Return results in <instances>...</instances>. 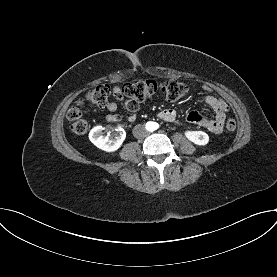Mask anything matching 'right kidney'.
I'll list each match as a JSON object with an SVG mask.
<instances>
[{
	"label": "right kidney",
	"instance_id": "ca27d5eb",
	"mask_svg": "<svg viewBox=\"0 0 277 277\" xmlns=\"http://www.w3.org/2000/svg\"><path fill=\"white\" fill-rule=\"evenodd\" d=\"M104 128L102 126H96L91 129L89 133L90 141L99 149L106 152H114L118 150L126 137V132L121 126H116L115 131L116 137L111 139L109 136H104L102 131Z\"/></svg>",
	"mask_w": 277,
	"mask_h": 277
}]
</instances>
